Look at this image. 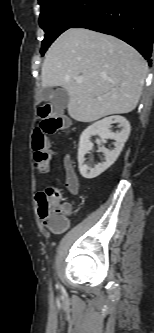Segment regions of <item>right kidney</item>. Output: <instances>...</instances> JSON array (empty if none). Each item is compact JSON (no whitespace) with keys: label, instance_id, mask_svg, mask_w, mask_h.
<instances>
[{"label":"right kidney","instance_id":"obj_1","mask_svg":"<svg viewBox=\"0 0 154 333\" xmlns=\"http://www.w3.org/2000/svg\"><path fill=\"white\" fill-rule=\"evenodd\" d=\"M119 124L121 131L113 133L110 131L111 124ZM98 134L101 140L113 139L115 140L113 150H108L102 147V152L105 155V161L98 163L94 167H90L85 163V155L89 153L93 144L90 142L92 135ZM130 134V124L122 116H110L100 121H97L87 127L80 136L79 149H78V164L80 174L86 179H93L107 170L120 155L125 142L127 141Z\"/></svg>","mask_w":154,"mask_h":333}]
</instances>
